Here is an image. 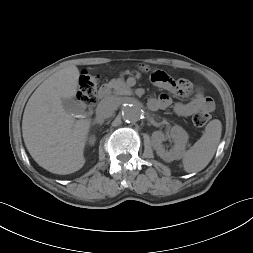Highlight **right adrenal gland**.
Segmentation results:
<instances>
[{
  "mask_svg": "<svg viewBox=\"0 0 253 253\" xmlns=\"http://www.w3.org/2000/svg\"><path fill=\"white\" fill-rule=\"evenodd\" d=\"M103 121H104V120H103ZM103 121H101V120H95V121L93 122V125H94V124L102 125V124H103Z\"/></svg>",
  "mask_w": 253,
  "mask_h": 253,
  "instance_id": "1",
  "label": "right adrenal gland"
}]
</instances>
